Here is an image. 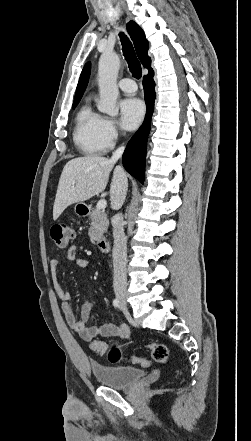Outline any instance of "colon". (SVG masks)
Instances as JSON below:
<instances>
[{
	"instance_id": "colon-1",
	"label": "colon",
	"mask_w": 251,
	"mask_h": 441,
	"mask_svg": "<svg viewBox=\"0 0 251 441\" xmlns=\"http://www.w3.org/2000/svg\"><path fill=\"white\" fill-rule=\"evenodd\" d=\"M50 237L56 248L63 249L75 237V230L67 224H57L51 228ZM145 347L151 352L155 361L160 363L168 362L169 349L166 345L161 343H149L146 344ZM90 348L92 351L106 357L111 363H117L123 359L122 351L117 344L108 346L102 341L95 340L91 342ZM129 361L143 367L150 364L149 360L142 357H130Z\"/></svg>"
}]
</instances>
